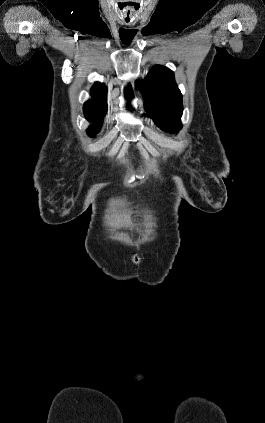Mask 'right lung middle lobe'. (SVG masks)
<instances>
[{"mask_svg": "<svg viewBox=\"0 0 265 423\" xmlns=\"http://www.w3.org/2000/svg\"><path fill=\"white\" fill-rule=\"evenodd\" d=\"M89 121H91V120H89ZM91 122H93V123H94V125H93V126H90V127L87 129V132H88V134H89L90 136H94V135H95V133H97V132H98L99 127L101 126V123L96 122V121H91Z\"/></svg>", "mask_w": 265, "mask_h": 423, "instance_id": "dd1d6c3e", "label": "right lung middle lobe"}]
</instances>
